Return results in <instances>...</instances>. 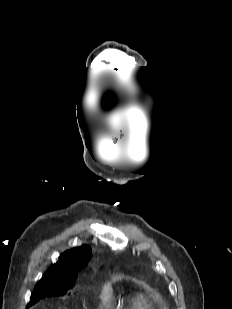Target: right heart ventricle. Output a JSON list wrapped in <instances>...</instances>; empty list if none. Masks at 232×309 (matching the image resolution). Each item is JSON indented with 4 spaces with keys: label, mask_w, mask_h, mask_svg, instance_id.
Instances as JSON below:
<instances>
[{
    "label": "right heart ventricle",
    "mask_w": 232,
    "mask_h": 309,
    "mask_svg": "<svg viewBox=\"0 0 232 309\" xmlns=\"http://www.w3.org/2000/svg\"><path fill=\"white\" fill-rule=\"evenodd\" d=\"M104 307H111V305L106 302L104 304ZM133 308L134 309H152L150 307V305H148L145 301V299L143 298L142 295H137L136 298H135V301H134V305H133Z\"/></svg>",
    "instance_id": "obj_1"
}]
</instances>
